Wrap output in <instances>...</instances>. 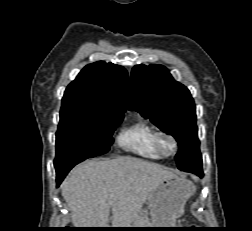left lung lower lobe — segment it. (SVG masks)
Listing matches in <instances>:
<instances>
[{"label": "left lung lower lobe", "mask_w": 252, "mask_h": 231, "mask_svg": "<svg viewBox=\"0 0 252 231\" xmlns=\"http://www.w3.org/2000/svg\"><path fill=\"white\" fill-rule=\"evenodd\" d=\"M182 171L192 172V173H195V174L199 175L200 177L203 176L202 167H193V168H188V169H185V170H182Z\"/></svg>", "instance_id": "1"}]
</instances>
